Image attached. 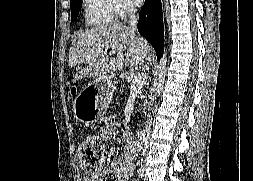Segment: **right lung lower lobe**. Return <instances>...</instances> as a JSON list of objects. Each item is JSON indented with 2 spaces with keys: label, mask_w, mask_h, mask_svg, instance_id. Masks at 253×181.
Here are the masks:
<instances>
[{
  "label": "right lung lower lobe",
  "mask_w": 253,
  "mask_h": 181,
  "mask_svg": "<svg viewBox=\"0 0 253 181\" xmlns=\"http://www.w3.org/2000/svg\"><path fill=\"white\" fill-rule=\"evenodd\" d=\"M138 31L153 46L158 60L164 50L161 0H146L139 14Z\"/></svg>",
  "instance_id": "right-lung-lower-lobe-1"
}]
</instances>
